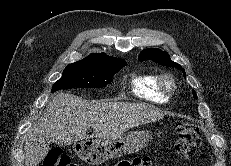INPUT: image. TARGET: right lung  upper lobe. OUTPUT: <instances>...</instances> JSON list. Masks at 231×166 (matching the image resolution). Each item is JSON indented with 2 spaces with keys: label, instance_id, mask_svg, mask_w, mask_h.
I'll return each instance as SVG.
<instances>
[{
  "label": "right lung upper lobe",
  "instance_id": "right-lung-upper-lobe-1",
  "mask_svg": "<svg viewBox=\"0 0 231 166\" xmlns=\"http://www.w3.org/2000/svg\"><path fill=\"white\" fill-rule=\"evenodd\" d=\"M106 57H109L108 55L105 54H91L90 56L86 57V58H91V59H95V60H100V59H105Z\"/></svg>",
  "mask_w": 231,
  "mask_h": 166
}]
</instances>
